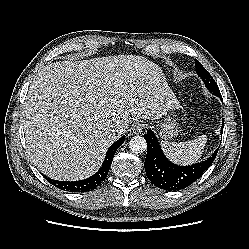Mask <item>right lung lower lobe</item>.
Listing matches in <instances>:
<instances>
[{"mask_svg":"<svg viewBox=\"0 0 249 249\" xmlns=\"http://www.w3.org/2000/svg\"><path fill=\"white\" fill-rule=\"evenodd\" d=\"M125 137H121L115 143H113L106 154L105 160L99 169V171L94 174L93 176L79 181H58L53 180L50 178H46L52 185L69 192H88L90 190L95 189L107 176L108 171L110 169L114 154L116 153L117 149L122 145L124 142Z\"/></svg>","mask_w":249,"mask_h":249,"instance_id":"1","label":"right lung lower lobe"}]
</instances>
